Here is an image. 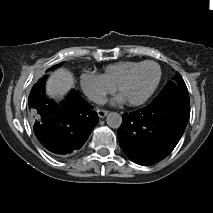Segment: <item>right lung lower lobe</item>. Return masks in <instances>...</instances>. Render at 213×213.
<instances>
[{
	"label": "right lung lower lobe",
	"instance_id": "obj_1",
	"mask_svg": "<svg viewBox=\"0 0 213 213\" xmlns=\"http://www.w3.org/2000/svg\"><path fill=\"white\" fill-rule=\"evenodd\" d=\"M28 105L38 140L55 154L81 148L99 121L93 107L75 90L62 102L47 98L45 79L32 88Z\"/></svg>",
	"mask_w": 213,
	"mask_h": 213
}]
</instances>
